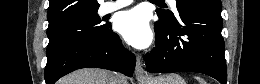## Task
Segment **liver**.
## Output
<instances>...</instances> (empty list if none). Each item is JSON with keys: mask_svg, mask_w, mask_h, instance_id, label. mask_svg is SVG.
<instances>
[{"mask_svg": "<svg viewBox=\"0 0 260 84\" xmlns=\"http://www.w3.org/2000/svg\"><path fill=\"white\" fill-rule=\"evenodd\" d=\"M118 74L97 68L74 71L59 80V84H116Z\"/></svg>", "mask_w": 260, "mask_h": 84, "instance_id": "1", "label": "liver"}]
</instances>
